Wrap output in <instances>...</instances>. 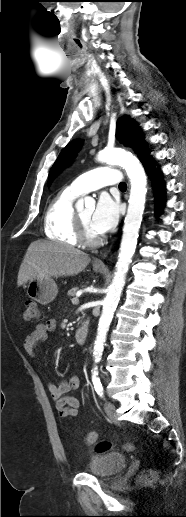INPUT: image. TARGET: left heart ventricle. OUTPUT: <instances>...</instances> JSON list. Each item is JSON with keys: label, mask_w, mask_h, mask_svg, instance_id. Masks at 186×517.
I'll return each mask as SVG.
<instances>
[{"label": "left heart ventricle", "mask_w": 186, "mask_h": 517, "mask_svg": "<svg viewBox=\"0 0 186 517\" xmlns=\"http://www.w3.org/2000/svg\"><path fill=\"white\" fill-rule=\"evenodd\" d=\"M92 214H93V209H86V210H83L79 213V215L81 216V219L83 220L87 230L89 231L90 234L92 235H95L97 236L98 233L95 232L92 227H91V217H92Z\"/></svg>", "instance_id": "b2bd125f"}]
</instances>
